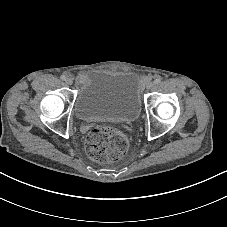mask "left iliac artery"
Segmentation results:
<instances>
[{
    "instance_id": "44dca946",
    "label": "left iliac artery",
    "mask_w": 227,
    "mask_h": 227,
    "mask_svg": "<svg viewBox=\"0 0 227 227\" xmlns=\"http://www.w3.org/2000/svg\"><path fill=\"white\" fill-rule=\"evenodd\" d=\"M160 82H161V79L160 78H157V79L154 80V83L155 84H159Z\"/></svg>"
}]
</instances>
